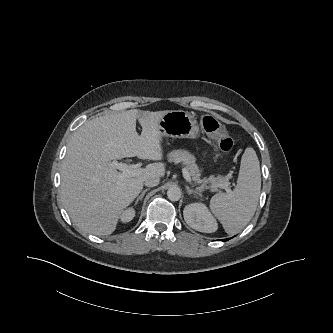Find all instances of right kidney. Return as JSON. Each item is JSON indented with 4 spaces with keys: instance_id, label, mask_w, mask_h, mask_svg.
<instances>
[{
    "instance_id": "1",
    "label": "right kidney",
    "mask_w": 333,
    "mask_h": 333,
    "mask_svg": "<svg viewBox=\"0 0 333 333\" xmlns=\"http://www.w3.org/2000/svg\"><path fill=\"white\" fill-rule=\"evenodd\" d=\"M135 217V210L133 208H128L124 210L120 215V220L123 223L130 222Z\"/></svg>"
}]
</instances>
